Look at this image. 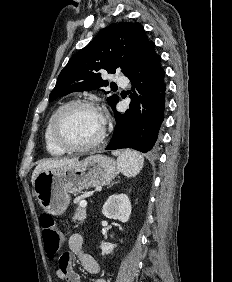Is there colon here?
I'll return each mask as SVG.
<instances>
[{"instance_id":"5ec220e1","label":"colon","mask_w":232,"mask_h":282,"mask_svg":"<svg viewBox=\"0 0 232 282\" xmlns=\"http://www.w3.org/2000/svg\"><path fill=\"white\" fill-rule=\"evenodd\" d=\"M42 238L45 252L50 258H54L59 252L62 242L61 231L54 218L46 213L40 215Z\"/></svg>"}]
</instances>
